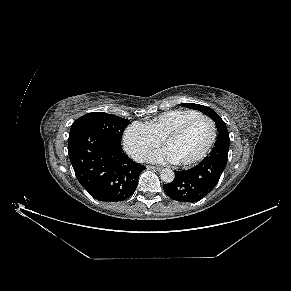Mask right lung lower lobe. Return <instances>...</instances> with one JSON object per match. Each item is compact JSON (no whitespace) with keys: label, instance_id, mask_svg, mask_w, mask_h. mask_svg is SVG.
Listing matches in <instances>:
<instances>
[{"label":"right lung lower lobe","instance_id":"right-lung-lower-lobe-1","mask_svg":"<svg viewBox=\"0 0 291 291\" xmlns=\"http://www.w3.org/2000/svg\"><path fill=\"white\" fill-rule=\"evenodd\" d=\"M68 154L81 185L104 202L129 198L146 168L123 153L121 144L89 129L69 134Z\"/></svg>","mask_w":291,"mask_h":291}]
</instances>
